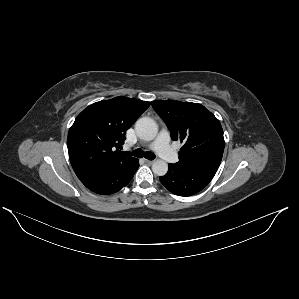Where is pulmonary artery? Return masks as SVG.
Instances as JSON below:
<instances>
[{"label": "pulmonary artery", "instance_id": "1", "mask_svg": "<svg viewBox=\"0 0 299 299\" xmlns=\"http://www.w3.org/2000/svg\"><path fill=\"white\" fill-rule=\"evenodd\" d=\"M169 141L170 137L168 132L162 131L156 141L151 145V148L154 149L163 159L175 162L176 156L170 148Z\"/></svg>", "mask_w": 299, "mask_h": 299}]
</instances>
